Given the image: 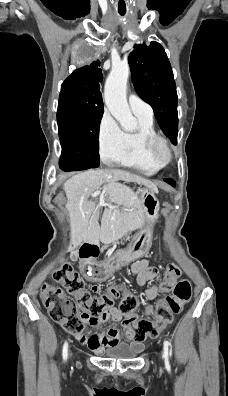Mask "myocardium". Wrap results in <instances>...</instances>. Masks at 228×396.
Wrapping results in <instances>:
<instances>
[{
    "label": "myocardium",
    "mask_w": 228,
    "mask_h": 396,
    "mask_svg": "<svg viewBox=\"0 0 228 396\" xmlns=\"http://www.w3.org/2000/svg\"><path fill=\"white\" fill-rule=\"evenodd\" d=\"M143 149L147 159L155 166L163 168L172 160V150L168 140L158 134L142 135ZM163 148L166 152V158L161 159L159 150Z\"/></svg>",
    "instance_id": "obj_1"
}]
</instances>
